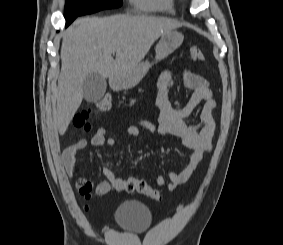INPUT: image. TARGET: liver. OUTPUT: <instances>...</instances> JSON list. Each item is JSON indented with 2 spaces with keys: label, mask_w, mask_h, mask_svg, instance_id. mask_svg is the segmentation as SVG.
<instances>
[{
  "label": "liver",
  "mask_w": 283,
  "mask_h": 245,
  "mask_svg": "<svg viewBox=\"0 0 283 245\" xmlns=\"http://www.w3.org/2000/svg\"><path fill=\"white\" fill-rule=\"evenodd\" d=\"M67 29L61 46V73L54 122L63 135L83 100V81L91 73L112 79L134 68L153 43L181 25L169 19L114 15L82 18ZM116 52V58L112 53Z\"/></svg>",
  "instance_id": "6515ba94"
}]
</instances>
